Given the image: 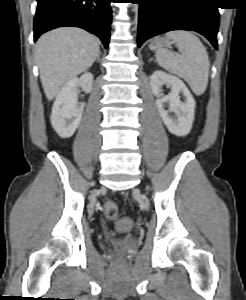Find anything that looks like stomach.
I'll return each mask as SVG.
<instances>
[{
	"label": "stomach",
	"instance_id": "obj_1",
	"mask_svg": "<svg viewBox=\"0 0 246 300\" xmlns=\"http://www.w3.org/2000/svg\"><path fill=\"white\" fill-rule=\"evenodd\" d=\"M172 42L169 41V39H162L157 38L151 44L149 45V48L151 50H157L159 48H162L163 46H169Z\"/></svg>",
	"mask_w": 246,
	"mask_h": 300
}]
</instances>
